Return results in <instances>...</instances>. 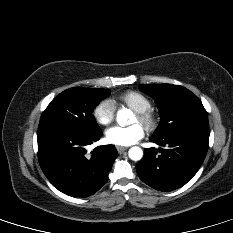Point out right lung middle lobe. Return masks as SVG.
Returning <instances> with one entry per match:
<instances>
[{"instance_id":"1","label":"right lung middle lobe","mask_w":233,"mask_h":233,"mask_svg":"<svg viewBox=\"0 0 233 233\" xmlns=\"http://www.w3.org/2000/svg\"><path fill=\"white\" fill-rule=\"evenodd\" d=\"M110 95L99 88H70L54 98L41 115L38 129L66 127L86 132L101 130L92 112Z\"/></svg>"}]
</instances>
